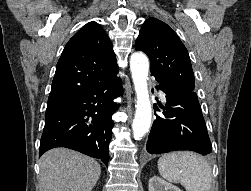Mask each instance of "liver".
Returning <instances> with one entry per match:
<instances>
[{
  "instance_id": "6515ba94",
  "label": "liver",
  "mask_w": 251,
  "mask_h": 191,
  "mask_svg": "<svg viewBox=\"0 0 251 191\" xmlns=\"http://www.w3.org/2000/svg\"><path fill=\"white\" fill-rule=\"evenodd\" d=\"M101 167L93 157L54 147L40 157L39 183L43 191H91Z\"/></svg>"
}]
</instances>
